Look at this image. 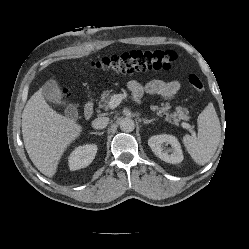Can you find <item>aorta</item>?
I'll use <instances>...</instances> for the list:
<instances>
[{"mask_svg":"<svg viewBox=\"0 0 249 249\" xmlns=\"http://www.w3.org/2000/svg\"><path fill=\"white\" fill-rule=\"evenodd\" d=\"M135 128V123L131 118H124L120 122V129L124 132H132Z\"/></svg>","mask_w":249,"mask_h":249,"instance_id":"762f6f07","label":"aorta"}]
</instances>
